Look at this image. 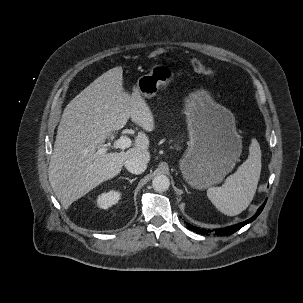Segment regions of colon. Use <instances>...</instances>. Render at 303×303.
<instances>
[{"mask_svg": "<svg viewBox=\"0 0 303 303\" xmlns=\"http://www.w3.org/2000/svg\"><path fill=\"white\" fill-rule=\"evenodd\" d=\"M165 52L166 51L164 48L158 47L151 53V58L159 59L160 57L165 55ZM190 65H191V68L193 69V71H195L196 73L208 75V76L214 75V69L212 67L204 64L199 59H195V58L192 59L190 61Z\"/></svg>", "mask_w": 303, "mask_h": 303, "instance_id": "1", "label": "colon"}]
</instances>
